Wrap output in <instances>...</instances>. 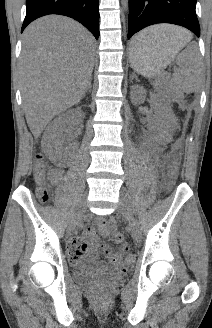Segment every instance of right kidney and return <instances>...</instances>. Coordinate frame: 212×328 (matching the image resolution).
Listing matches in <instances>:
<instances>
[{
  "label": "right kidney",
  "instance_id": "right-kidney-1",
  "mask_svg": "<svg viewBox=\"0 0 212 328\" xmlns=\"http://www.w3.org/2000/svg\"><path fill=\"white\" fill-rule=\"evenodd\" d=\"M83 118L84 113L81 109L76 108L63 113L48 126L44 133L43 140L47 146V152L50 155H53L55 151L59 150V146L62 143V127L65 124L77 126L83 121Z\"/></svg>",
  "mask_w": 212,
  "mask_h": 328
}]
</instances>
